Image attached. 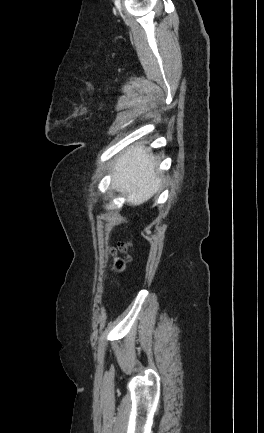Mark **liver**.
<instances>
[{
	"label": "liver",
	"instance_id": "liver-1",
	"mask_svg": "<svg viewBox=\"0 0 264 433\" xmlns=\"http://www.w3.org/2000/svg\"><path fill=\"white\" fill-rule=\"evenodd\" d=\"M156 166L151 152L139 145L131 146L116 159L111 188L125 195L129 204L141 205L160 188Z\"/></svg>",
	"mask_w": 264,
	"mask_h": 433
}]
</instances>
